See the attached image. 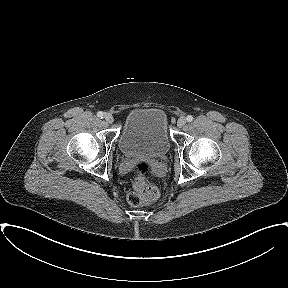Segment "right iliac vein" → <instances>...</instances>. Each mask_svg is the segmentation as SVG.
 <instances>
[{
    "mask_svg": "<svg viewBox=\"0 0 288 288\" xmlns=\"http://www.w3.org/2000/svg\"><path fill=\"white\" fill-rule=\"evenodd\" d=\"M104 118H105L106 122L110 123V124L113 123V121H114L113 116L109 113H107Z\"/></svg>",
    "mask_w": 288,
    "mask_h": 288,
    "instance_id": "63e3f726",
    "label": "right iliac vein"
}]
</instances>
